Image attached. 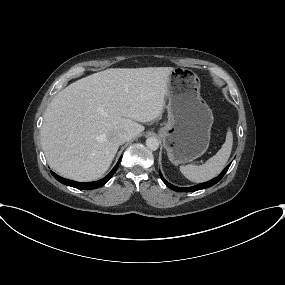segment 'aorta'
Listing matches in <instances>:
<instances>
[{
  "instance_id": "1",
  "label": "aorta",
  "mask_w": 285,
  "mask_h": 285,
  "mask_svg": "<svg viewBox=\"0 0 285 285\" xmlns=\"http://www.w3.org/2000/svg\"><path fill=\"white\" fill-rule=\"evenodd\" d=\"M146 146L148 149L155 151L159 148V141L155 137H149L146 140Z\"/></svg>"
}]
</instances>
